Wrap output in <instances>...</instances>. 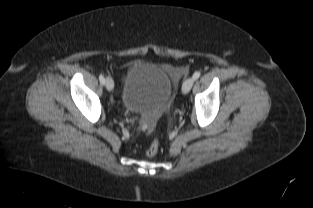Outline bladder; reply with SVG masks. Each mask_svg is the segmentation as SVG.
<instances>
[{"label":"bladder","instance_id":"1","mask_svg":"<svg viewBox=\"0 0 313 208\" xmlns=\"http://www.w3.org/2000/svg\"><path fill=\"white\" fill-rule=\"evenodd\" d=\"M171 94L172 82L161 68L136 62L126 72L121 103L128 112L158 116L167 108Z\"/></svg>","mask_w":313,"mask_h":208}]
</instances>
